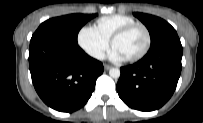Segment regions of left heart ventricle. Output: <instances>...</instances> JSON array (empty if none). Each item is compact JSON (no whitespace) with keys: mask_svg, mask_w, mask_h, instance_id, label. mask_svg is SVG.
I'll return each instance as SVG.
<instances>
[{"mask_svg":"<svg viewBox=\"0 0 203 123\" xmlns=\"http://www.w3.org/2000/svg\"><path fill=\"white\" fill-rule=\"evenodd\" d=\"M146 36L141 28H135L128 34L120 37L114 43L116 48L125 58L138 54L145 46Z\"/></svg>","mask_w":203,"mask_h":123,"instance_id":"b2bd125f","label":"left heart ventricle"}]
</instances>
